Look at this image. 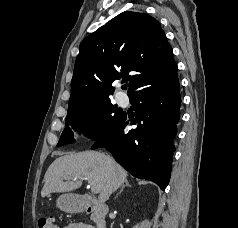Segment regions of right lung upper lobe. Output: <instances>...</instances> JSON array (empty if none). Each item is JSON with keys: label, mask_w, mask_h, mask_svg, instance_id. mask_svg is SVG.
I'll list each match as a JSON object with an SVG mask.
<instances>
[{"label": "right lung upper lobe", "mask_w": 238, "mask_h": 228, "mask_svg": "<svg viewBox=\"0 0 238 228\" xmlns=\"http://www.w3.org/2000/svg\"><path fill=\"white\" fill-rule=\"evenodd\" d=\"M175 75L173 51L159 22L145 13L125 11L82 41L68 107L109 100L112 83L121 78L130 81V98Z\"/></svg>", "instance_id": "cb5924a9"}]
</instances>
